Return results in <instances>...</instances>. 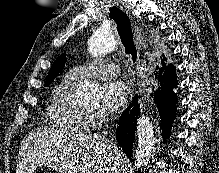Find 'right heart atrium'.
I'll return each instance as SVG.
<instances>
[{"label": "right heart atrium", "mask_w": 219, "mask_h": 173, "mask_svg": "<svg viewBox=\"0 0 219 173\" xmlns=\"http://www.w3.org/2000/svg\"><path fill=\"white\" fill-rule=\"evenodd\" d=\"M107 120V115L103 111H94L88 115V125L98 127Z\"/></svg>", "instance_id": "obj_1"}]
</instances>
